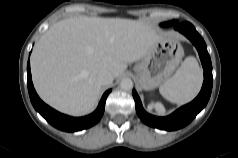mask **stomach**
Masks as SVG:
<instances>
[{"instance_id": "stomach-1", "label": "stomach", "mask_w": 238, "mask_h": 158, "mask_svg": "<svg viewBox=\"0 0 238 158\" xmlns=\"http://www.w3.org/2000/svg\"><path fill=\"white\" fill-rule=\"evenodd\" d=\"M184 56L183 47L176 36L165 33L135 65L137 79L145 90H152L173 74Z\"/></svg>"}]
</instances>
